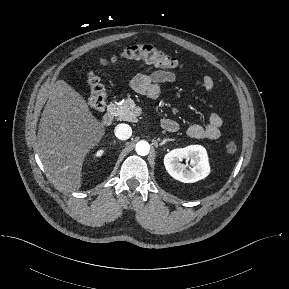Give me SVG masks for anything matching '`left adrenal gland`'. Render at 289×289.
<instances>
[{"instance_id":"obj_1","label":"left adrenal gland","mask_w":289,"mask_h":289,"mask_svg":"<svg viewBox=\"0 0 289 289\" xmlns=\"http://www.w3.org/2000/svg\"><path fill=\"white\" fill-rule=\"evenodd\" d=\"M168 141H173V139H163L161 142H159V145L162 146Z\"/></svg>"}]
</instances>
